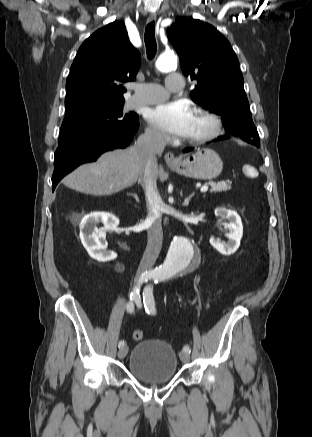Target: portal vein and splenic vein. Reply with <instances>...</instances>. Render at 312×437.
I'll return each instance as SVG.
<instances>
[{"mask_svg": "<svg viewBox=\"0 0 312 437\" xmlns=\"http://www.w3.org/2000/svg\"><path fill=\"white\" fill-rule=\"evenodd\" d=\"M208 189H209L208 186H203V187L200 189V191H201V192H206V191H208Z\"/></svg>", "mask_w": 312, "mask_h": 437, "instance_id": "portal-vein-and-splenic-vein-1", "label": "portal vein and splenic vein"}]
</instances>
